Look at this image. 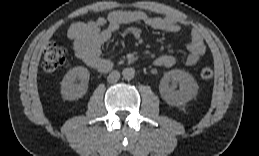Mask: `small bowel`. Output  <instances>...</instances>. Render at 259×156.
I'll list each match as a JSON object with an SVG mask.
<instances>
[{"instance_id": "c3829d8e", "label": "small bowel", "mask_w": 259, "mask_h": 156, "mask_svg": "<svg viewBox=\"0 0 259 156\" xmlns=\"http://www.w3.org/2000/svg\"><path fill=\"white\" fill-rule=\"evenodd\" d=\"M143 23L144 25L167 33L181 32L188 24L182 19L168 15L165 17L151 16L141 10H114L106 17L93 21L79 22L72 25L68 31L73 41L75 55L91 68L106 72L112 67L109 59L101 56V48L110 37L124 24ZM186 47L189 51L185 65L194 66L206 53V44L200 32L191 29L190 39ZM155 65L171 67L176 58L170 54H162L155 58Z\"/></svg>"}]
</instances>
